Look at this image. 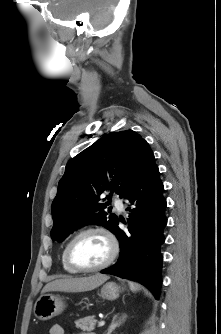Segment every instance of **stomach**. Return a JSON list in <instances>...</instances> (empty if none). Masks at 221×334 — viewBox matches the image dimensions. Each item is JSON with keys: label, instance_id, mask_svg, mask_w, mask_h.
Masks as SVG:
<instances>
[{"label": "stomach", "instance_id": "stomach-1", "mask_svg": "<svg viewBox=\"0 0 221 334\" xmlns=\"http://www.w3.org/2000/svg\"><path fill=\"white\" fill-rule=\"evenodd\" d=\"M123 289L114 282H107L101 288L100 295L103 299L115 300ZM65 308L62 298L54 294L41 295L34 305V315L42 321L59 315Z\"/></svg>", "mask_w": 221, "mask_h": 334}]
</instances>
